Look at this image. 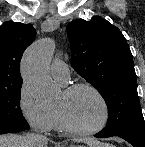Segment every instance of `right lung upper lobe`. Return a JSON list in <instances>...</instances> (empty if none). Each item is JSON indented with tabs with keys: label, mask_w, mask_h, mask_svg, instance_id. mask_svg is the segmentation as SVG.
Instances as JSON below:
<instances>
[{
	"label": "right lung upper lobe",
	"mask_w": 145,
	"mask_h": 147,
	"mask_svg": "<svg viewBox=\"0 0 145 147\" xmlns=\"http://www.w3.org/2000/svg\"><path fill=\"white\" fill-rule=\"evenodd\" d=\"M35 36L31 24L8 21L0 26V88L22 84L21 57Z\"/></svg>",
	"instance_id": "cb5924a9"
}]
</instances>
